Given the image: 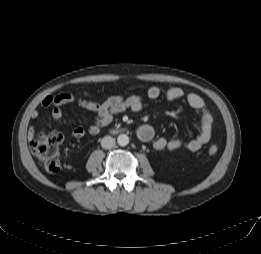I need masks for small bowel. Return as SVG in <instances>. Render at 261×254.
Returning <instances> with one entry per match:
<instances>
[{
	"instance_id": "c3829d8e",
	"label": "small bowel",
	"mask_w": 261,
	"mask_h": 254,
	"mask_svg": "<svg viewBox=\"0 0 261 254\" xmlns=\"http://www.w3.org/2000/svg\"><path fill=\"white\" fill-rule=\"evenodd\" d=\"M162 96L168 101L184 100L192 109L197 111L200 133L195 138L189 140L182 138L168 139L163 136H156L154 128L145 124L138 128L137 134L139 139L144 143H152L153 147L158 151H173L181 148L199 151L210 141L213 127L212 116L207 110L203 99L199 95L186 92L179 87H172L163 94L159 87L152 86L146 92V97L150 100H157ZM74 104L95 115V121L88 129L76 127L72 131L73 137L81 138L87 132L91 135L98 134L103 128L111 124L117 114L126 110H130L133 113L140 112L144 105V99L142 96L137 95L128 97L112 95L102 103H98L90 100L86 92H81L78 94L61 93L55 96H45L41 101L43 107H52L51 118L53 120H59L65 113V108ZM31 115L32 118H37L39 112L34 110ZM33 134L34 130L30 128L29 137H32Z\"/></svg>"
}]
</instances>
